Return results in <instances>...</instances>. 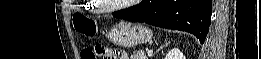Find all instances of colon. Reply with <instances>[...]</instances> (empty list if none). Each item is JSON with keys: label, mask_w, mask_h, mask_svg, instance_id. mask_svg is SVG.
<instances>
[{"label": "colon", "mask_w": 261, "mask_h": 59, "mask_svg": "<svg viewBox=\"0 0 261 59\" xmlns=\"http://www.w3.org/2000/svg\"><path fill=\"white\" fill-rule=\"evenodd\" d=\"M73 26L75 30L86 37L92 38L95 36L97 31L96 22L89 17L77 14L73 18ZM118 53L108 49L102 44H96L94 49H83L81 51L82 59H117Z\"/></svg>", "instance_id": "colon-1"}]
</instances>
